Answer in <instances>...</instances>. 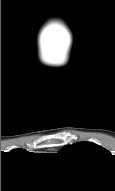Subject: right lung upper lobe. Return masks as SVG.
Instances as JSON below:
<instances>
[{
	"instance_id": "cb5924a9",
	"label": "right lung upper lobe",
	"mask_w": 115,
	"mask_h": 191,
	"mask_svg": "<svg viewBox=\"0 0 115 191\" xmlns=\"http://www.w3.org/2000/svg\"><path fill=\"white\" fill-rule=\"evenodd\" d=\"M22 151V149L13 150L12 153Z\"/></svg>"
}]
</instances>
